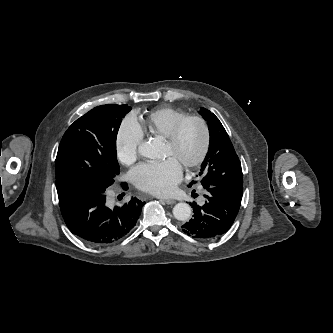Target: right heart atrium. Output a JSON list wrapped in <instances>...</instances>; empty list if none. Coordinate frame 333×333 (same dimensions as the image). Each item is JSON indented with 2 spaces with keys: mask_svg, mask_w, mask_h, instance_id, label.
Here are the masks:
<instances>
[{
  "mask_svg": "<svg viewBox=\"0 0 333 333\" xmlns=\"http://www.w3.org/2000/svg\"><path fill=\"white\" fill-rule=\"evenodd\" d=\"M144 138L142 128L132 115L126 116L115 137V152L118 160L130 165L137 159L138 149Z\"/></svg>",
  "mask_w": 333,
  "mask_h": 333,
  "instance_id": "1",
  "label": "right heart atrium"
}]
</instances>
